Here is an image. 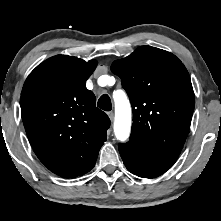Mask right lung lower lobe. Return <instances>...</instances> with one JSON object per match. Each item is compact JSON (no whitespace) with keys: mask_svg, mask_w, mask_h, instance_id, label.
I'll use <instances>...</instances> for the list:
<instances>
[{"mask_svg":"<svg viewBox=\"0 0 221 221\" xmlns=\"http://www.w3.org/2000/svg\"><path fill=\"white\" fill-rule=\"evenodd\" d=\"M95 162H96V161H95ZM95 162L91 165V167L88 169V171H90V170L94 167ZM88 171H87V172H88ZM87 172H86V173H87Z\"/></svg>","mask_w":221,"mask_h":221,"instance_id":"right-lung-lower-lobe-1","label":"right lung lower lobe"}]
</instances>
